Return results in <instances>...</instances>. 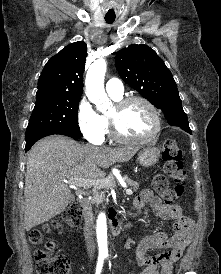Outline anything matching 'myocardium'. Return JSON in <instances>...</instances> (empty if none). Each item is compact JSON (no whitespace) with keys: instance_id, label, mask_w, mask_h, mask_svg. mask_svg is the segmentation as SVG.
Returning <instances> with one entry per match:
<instances>
[{"instance_id":"myocardium-1","label":"myocardium","mask_w":221,"mask_h":274,"mask_svg":"<svg viewBox=\"0 0 221 274\" xmlns=\"http://www.w3.org/2000/svg\"><path fill=\"white\" fill-rule=\"evenodd\" d=\"M134 102H141L150 110L153 118V128L151 132L146 137H143V138H138V139L128 138L124 136L119 130L116 117L109 114L108 121L110 126V132L112 137L119 143L127 144V145H144L153 141L158 135V133L160 132L161 118L156 106L147 98L139 95H133V96L121 98L120 100L116 101L114 107L117 112H120L126 106Z\"/></svg>"}]
</instances>
